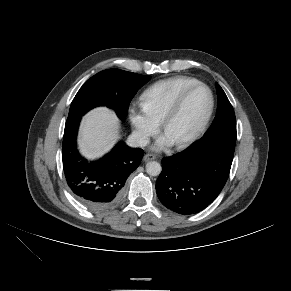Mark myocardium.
<instances>
[{"label":"myocardium","instance_id":"f54148a6","mask_svg":"<svg viewBox=\"0 0 291 291\" xmlns=\"http://www.w3.org/2000/svg\"><path fill=\"white\" fill-rule=\"evenodd\" d=\"M197 88H205L208 91L209 97H210L209 107H208V110H207L205 116L203 117L200 125L195 130V132L192 135H190L189 137H187L186 139L175 143V146L178 149L188 148L193 143H195L204 133V131H205V129L210 121V118L213 114L214 106H215L214 94H213L211 88L207 84L202 83V82H198V83H195V84L187 87L175 99V101L170 106L168 111L165 113V115L161 121L162 131L165 132L168 124L171 122V120L174 118V116L178 113V111L180 110L184 101L186 100L187 96Z\"/></svg>","mask_w":291,"mask_h":291}]
</instances>
